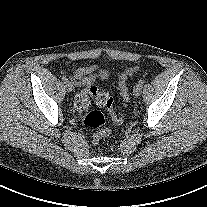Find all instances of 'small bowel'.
Segmentation results:
<instances>
[{
  "label": "small bowel",
  "instance_id": "small-bowel-1",
  "mask_svg": "<svg viewBox=\"0 0 207 207\" xmlns=\"http://www.w3.org/2000/svg\"><path fill=\"white\" fill-rule=\"evenodd\" d=\"M96 72V66L79 67L74 71L71 78L77 86H91L97 78Z\"/></svg>",
  "mask_w": 207,
  "mask_h": 207
}]
</instances>
